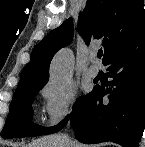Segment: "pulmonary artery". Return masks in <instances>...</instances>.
<instances>
[{
  "mask_svg": "<svg viewBox=\"0 0 145 147\" xmlns=\"http://www.w3.org/2000/svg\"><path fill=\"white\" fill-rule=\"evenodd\" d=\"M99 66H98V60L96 56L91 57V66L88 69V73L92 77H96L99 74Z\"/></svg>",
  "mask_w": 145,
  "mask_h": 147,
  "instance_id": "1",
  "label": "pulmonary artery"
}]
</instances>
